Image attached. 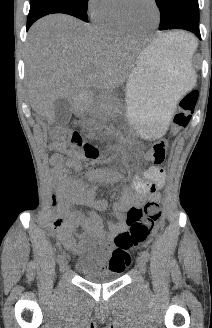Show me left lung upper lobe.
<instances>
[{"label":"left lung upper lobe","instance_id":"1","mask_svg":"<svg viewBox=\"0 0 212 328\" xmlns=\"http://www.w3.org/2000/svg\"><path fill=\"white\" fill-rule=\"evenodd\" d=\"M160 9V26L165 27L179 17L199 24L198 0H155Z\"/></svg>","mask_w":212,"mask_h":328}]
</instances>
